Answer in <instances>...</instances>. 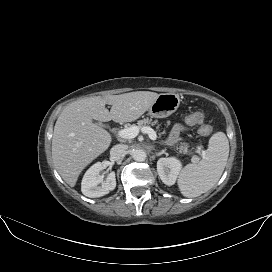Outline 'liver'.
<instances>
[{"label":"liver","instance_id":"1","mask_svg":"<svg viewBox=\"0 0 272 272\" xmlns=\"http://www.w3.org/2000/svg\"><path fill=\"white\" fill-rule=\"evenodd\" d=\"M159 94L136 91L80 99L67 105L54 126L52 157L63 180L76 185L82 170L111 144V136L93 120L132 122L143 115ZM112 105L110 111L105 105Z\"/></svg>","mask_w":272,"mask_h":272}]
</instances>
